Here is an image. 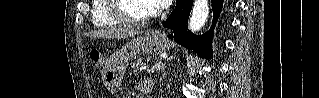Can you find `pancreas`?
<instances>
[{
  "instance_id": "1",
  "label": "pancreas",
  "mask_w": 319,
  "mask_h": 98,
  "mask_svg": "<svg viewBox=\"0 0 319 98\" xmlns=\"http://www.w3.org/2000/svg\"><path fill=\"white\" fill-rule=\"evenodd\" d=\"M143 65H145V61L144 60H141V59H138L136 62H134L133 64H132V67L134 68V69H139L140 67H142Z\"/></svg>"
}]
</instances>
